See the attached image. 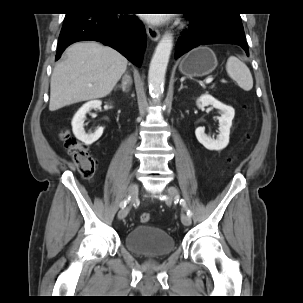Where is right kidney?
<instances>
[{
	"label": "right kidney",
	"mask_w": 303,
	"mask_h": 303,
	"mask_svg": "<svg viewBox=\"0 0 303 303\" xmlns=\"http://www.w3.org/2000/svg\"><path fill=\"white\" fill-rule=\"evenodd\" d=\"M102 102L93 100L85 103L74 115L72 119V130L75 137L85 145H91L96 142L103 134L104 128L99 127L94 133L87 134L84 130V119L86 114L91 110L100 108Z\"/></svg>",
	"instance_id": "1"
}]
</instances>
